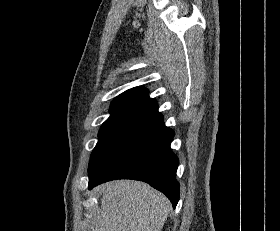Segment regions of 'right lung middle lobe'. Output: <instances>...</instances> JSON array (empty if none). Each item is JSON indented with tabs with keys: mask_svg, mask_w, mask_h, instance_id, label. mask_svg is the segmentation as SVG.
<instances>
[{
	"mask_svg": "<svg viewBox=\"0 0 280 231\" xmlns=\"http://www.w3.org/2000/svg\"><path fill=\"white\" fill-rule=\"evenodd\" d=\"M134 125L126 121L106 120L99 131L98 143L92 151L90 161L98 154V152L104 148L108 143L114 140L117 136L124 131L133 127Z\"/></svg>",
	"mask_w": 280,
	"mask_h": 231,
	"instance_id": "obj_1",
	"label": "right lung middle lobe"
}]
</instances>
